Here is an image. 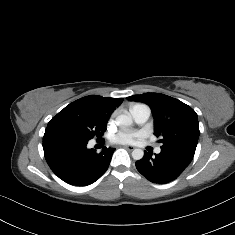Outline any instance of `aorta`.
I'll use <instances>...</instances> for the list:
<instances>
[{
    "mask_svg": "<svg viewBox=\"0 0 235 235\" xmlns=\"http://www.w3.org/2000/svg\"><path fill=\"white\" fill-rule=\"evenodd\" d=\"M115 124L121 128H127L132 125V117L128 114H120L115 119ZM144 156V151L142 149H134L132 151V157L135 160H140Z\"/></svg>",
    "mask_w": 235,
    "mask_h": 235,
    "instance_id": "obj_1",
    "label": "aorta"
}]
</instances>
